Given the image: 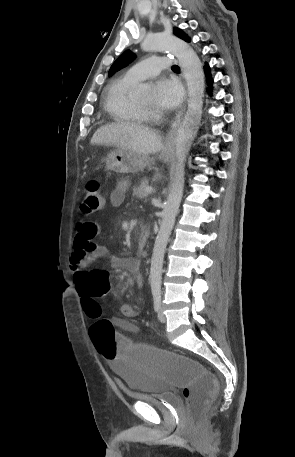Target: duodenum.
Returning a JSON list of instances; mask_svg holds the SVG:
<instances>
[{
  "label": "duodenum",
  "mask_w": 295,
  "mask_h": 457,
  "mask_svg": "<svg viewBox=\"0 0 295 457\" xmlns=\"http://www.w3.org/2000/svg\"><path fill=\"white\" fill-rule=\"evenodd\" d=\"M148 237H149V230L146 227H143L140 230V234H139L138 246H139L140 250H142L145 247V245L148 241Z\"/></svg>",
  "instance_id": "duodenum-1"
}]
</instances>
